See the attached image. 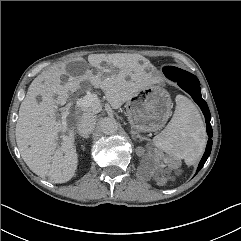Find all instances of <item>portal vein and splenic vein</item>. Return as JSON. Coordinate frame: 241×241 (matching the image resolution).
Wrapping results in <instances>:
<instances>
[{"label":"portal vein and splenic vein","instance_id":"18ae733b","mask_svg":"<svg viewBox=\"0 0 241 241\" xmlns=\"http://www.w3.org/2000/svg\"><path fill=\"white\" fill-rule=\"evenodd\" d=\"M76 106L80 108L94 107L95 109H101L97 96L94 94H87L83 98L78 99Z\"/></svg>","mask_w":241,"mask_h":241}]
</instances>
